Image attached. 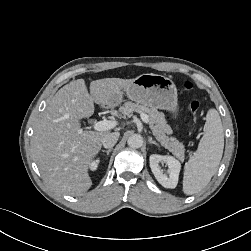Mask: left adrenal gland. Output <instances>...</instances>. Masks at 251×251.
<instances>
[{"mask_svg":"<svg viewBox=\"0 0 251 251\" xmlns=\"http://www.w3.org/2000/svg\"><path fill=\"white\" fill-rule=\"evenodd\" d=\"M148 142H149V144H154L157 147H159V144L156 141H154L151 137H148Z\"/></svg>","mask_w":251,"mask_h":251,"instance_id":"left-adrenal-gland-1","label":"left adrenal gland"}]
</instances>
